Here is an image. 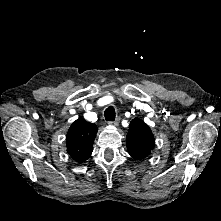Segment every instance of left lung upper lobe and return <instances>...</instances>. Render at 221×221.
<instances>
[{
    "instance_id": "5c2ea615",
    "label": "left lung upper lobe",
    "mask_w": 221,
    "mask_h": 221,
    "mask_svg": "<svg viewBox=\"0 0 221 221\" xmlns=\"http://www.w3.org/2000/svg\"><path fill=\"white\" fill-rule=\"evenodd\" d=\"M128 153L137 160H144L154 149L155 139L150 127L139 118L130 122L126 136Z\"/></svg>"
}]
</instances>
